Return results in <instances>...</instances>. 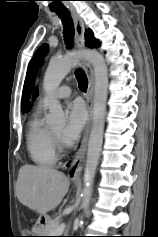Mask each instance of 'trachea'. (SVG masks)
I'll return each instance as SVG.
<instances>
[{
  "instance_id": "obj_1",
  "label": "trachea",
  "mask_w": 158,
  "mask_h": 237,
  "mask_svg": "<svg viewBox=\"0 0 158 237\" xmlns=\"http://www.w3.org/2000/svg\"><path fill=\"white\" fill-rule=\"evenodd\" d=\"M59 18L62 20L64 26V40L68 47L73 45V36H74V24L71 18V15L67 9H58L54 10ZM76 78L78 80L79 88L82 91H85L88 86V79L85 73L82 70L76 72Z\"/></svg>"
}]
</instances>
